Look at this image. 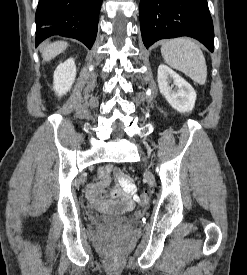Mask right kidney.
<instances>
[{
    "label": "right kidney",
    "mask_w": 247,
    "mask_h": 275,
    "mask_svg": "<svg viewBox=\"0 0 247 275\" xmlns=\"http://www.w3.org/2000/svg\"><path fill=\"white\" fill-rule=\"evenodd\" d=\"M76 77V66L73 58L67 59L58 65L54 71L53 88L58 96H62L70 91Z\"/></svg>",
    "instance_id": "ca27d5eb"
}]
</instances>
